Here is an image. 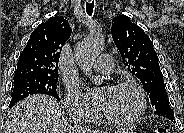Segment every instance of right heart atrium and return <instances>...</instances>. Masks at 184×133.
I'll return each mask as SVG.
<instances>
[{"label": "right heart atrium", "instance_id": "right-heart-atrium-1", "mask_svg": "<svg viewBox=\"0 0 184 133\" xmlns=\"http://www.w3.org/2000/svg\"><path fill=\"white\" fill-rule=\"evenodd\" d=\"M65 107L67 112L73 116L90 118L95 113L75 84H69L67 86Z\"/></svg>", "mask_w": 184, "mask_h": 133}]
</instances>
